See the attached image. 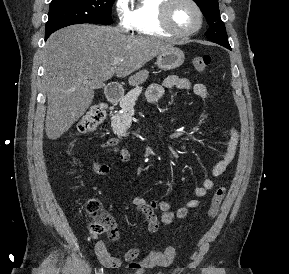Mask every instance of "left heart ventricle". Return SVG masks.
Returning a JSON list of instances; mask_svg holds the SVG:
<instances>
[{
  "mask_svg": "<svg viewBox=\"0 0 289 274\" xmlns=\"http://www.w3.org/2000/svg\"><path fill=\"white\" fill-rule=\"evenodd\" d=\"M171 21L181 31L191 30L198 24V15L194 7L186 0H178L171 11Z\"/></svg>",
  "mask_w": 289,
  "mask_h": 274,
  "instance_id": "left-heart-ventricle-1",
  "label": "left heart ventricle"
}]
</instances>
